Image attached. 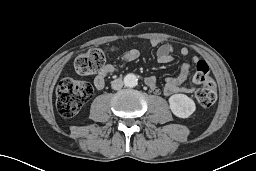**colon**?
I'll return each instance as SVG.
<instances>
[{
    "instance_id": "colon-1",
    "label": "colon",
    "mask_w": 256,
    "mask_h": 171,
    "mask_svg": "<svg viewBox=\"0 0 256 171\" xmlns=\"http://www.w3.org/2000/svg\"><path fill=\"white\" fill-rule=\"evenodd\" d=\"M106 58L107 52L105 50L91 48L75 59L74 69L80 75L97 73L104 66ZM193 79L202 85L196 92L198 102L206 108L213 106L217 97L216 85L205 61L197 62ZM92 95L93 88L90 84L72 78H64L59 82L56 90L57 108L63 116L71 117L81 109Z\"/></svg>"
}]
</instances>
